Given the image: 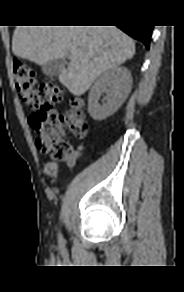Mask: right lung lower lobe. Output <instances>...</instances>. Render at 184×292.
Returning <instances> with one entry per match:
<instances>
[{"label":"right lung lower lobe","instance_id":"98d812e1","mask_svg":"<svg viewBox=\"0 0 184 292\" xmlns=\"http://www.w3.org/2000/svg\"><path fill=\"white\" fill-rule=\"evenodd\" d=\"M121 30L136 40L141 41L147 49L150 46V38L153 26L148 25H122L118 26Z\"/></svg>","mask_w":184,"mask_h":292}]
</instances>
